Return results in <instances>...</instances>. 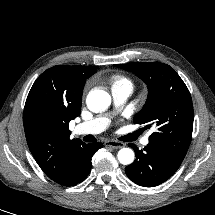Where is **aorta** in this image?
Returning <instances> with one entry per match:
<instances>
[{"label":"aorta","instance_id":"762f6f07","mask_svg":"<svg viewBox=\"0 0 215 215\" xmlns=\"http://www.w3.org/2000/svg\"><path fill=\"white\" fill-rule=\"evenodd\" d=\"M86 103L93 112L104 111L110 106L111 97L106 91L92 90L87 96ZM117 157L121 164L129 165L134 161V152L130 148H122Z\"/></svg>","mask_w":215,"mask_h":215}]
</instances>
